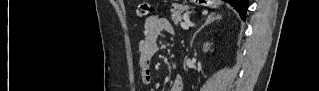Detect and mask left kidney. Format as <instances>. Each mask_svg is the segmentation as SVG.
Listing matches in <instances>:
<instances>
[{
    "label": "left kidney",
    "mask_w": 319,
    "mask_h": 91,
    "mask_svg": "<svg viewBox=\"0 0 319 91\" xmlns=\"http://www.w3.org/2000/svg\"><path fill=\"white\" fill-rule=\"evenodd\" d=\"M210 48V44L209 43H205L204 46H203V51L204 52H207Z\"/></svg>",
    "instance_id": "obj_1"
}]
</instances>
